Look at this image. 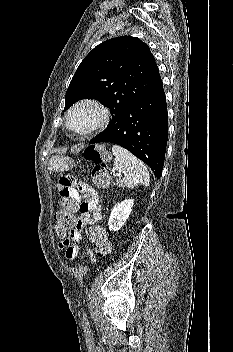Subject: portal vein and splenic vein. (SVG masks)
<instances>
[{"mask_svg":"<svg viewBox=\"0 0 233 352\" xmlns=\"http://www.w3.org/2000/svg\"><path fill=\"white\" fill-rule=\"evenodd\" d=\"M113 176L117 177V176H120V174L113 172Z\"/></svg>","mask_w":233,"mask_h":352,"instance_id":"portal-vein-and-splenic-vein-1","label":"portal vein and splenic vein"}]
</instances>
